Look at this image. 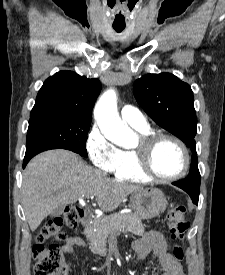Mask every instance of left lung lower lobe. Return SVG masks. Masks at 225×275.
<instances>
[{
	"instance_id": "1",
	"label": "left lung lower lobe",
	"mask_w": 225,
	"mask_h": 275,
	"mask_svg": "<svg viewBox=\"0 0 225 275\" xmlns=\"http://www.w3.org/2000/svg\"><path fill=\"white\" fill-rule=\"evenodd\" d=\"M172 184L186 191L190 195L193 203L198 204L200 178L189 176Z\"/></svg>"
}]
</instances>
